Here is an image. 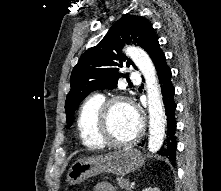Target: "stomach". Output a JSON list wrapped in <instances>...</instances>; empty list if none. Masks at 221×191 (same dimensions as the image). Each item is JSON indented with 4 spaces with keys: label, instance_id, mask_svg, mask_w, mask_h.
<instances>
[{
    "label": "stomach",
    "instance_id": "obj_1",
    "mask_svg": "<svg viewBox=\"0 0 221 191\" xmlns=\"http://www.w3.org/2000/svg\"><path fill=\"white\" fill-rule=\"evenodd\" d=\"M143 164L144 158L137 149L126 148L74 162L68 170L66 181L74 185L104 172L126 175L139 169Z\"/></svg>",
    "mask_w": 221,
    "mask_h": 191
}]
</instances>
